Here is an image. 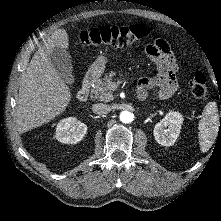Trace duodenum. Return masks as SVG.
I'll use <instances>...</instances> for the list:
<instances>
[{
  "label": "duodenum",
  "instance_id": "obj_1",
  "mask_svg": "<svg viewBox=\"0 0 221 221\" xmlns=\"http://www.w3.org/2000/svg\"><path fill=\"white\" fill-rule=\"evenodd\" d=\"M96 79H97V74L95 72H89L86 74L82 86L77 93V98L79 101L81 102L87 101V99L89 98L90 89L93 83L96 81Z\"/></svg>",
  "mask_w": 221,
  "mask_h": 221
}]
</instances>
